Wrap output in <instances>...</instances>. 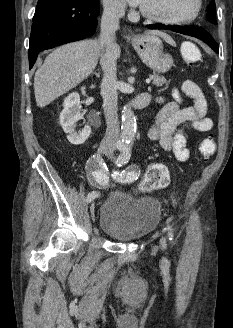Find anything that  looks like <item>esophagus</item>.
<instances>
[{
	"mask_svg": "<svg viewBox=\"0 0 233 328\" xmlns=\"http://www.w3.org/2000/svg\"><path fill=\"white\" fill-rule=\"evenodd\" d=\"M129 34H130L132 37L135 36V35H134L132 32H130V31H129Z\"/></svg>",
	"mask_w": 233,
	"mask_h": 328,
	"instance_id": "1",
	"label": "esophagus"
}]
</instances>
